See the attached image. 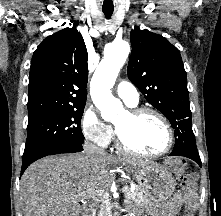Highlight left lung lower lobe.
Masks as SVG:
<instances>
[{
    "mask_svg": "<svg viewBox=\"0 0 221 216\" xmlns=\"http://www.w3.org/2000/svg\"><path fill=\"white\" fill-rule=\"evenodd\" d=\"M170 155L171 156H184V157L190 158L196 163H198V165L201 167V159H200L199 154L195 152L194 150H192L191 148L177 145V146H174L173 151L171 152Z\"/></svg>",
    "mask_w": 221,
    "mask_h": 216,
    "instance_id": "left-lung-lower-lobe-1",
    "label": "left lung lower lobe"
}]
</instances>
